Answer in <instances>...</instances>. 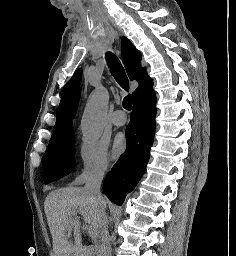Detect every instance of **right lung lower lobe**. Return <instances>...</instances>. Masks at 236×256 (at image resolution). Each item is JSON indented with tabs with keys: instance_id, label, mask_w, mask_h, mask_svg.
<instances>
[{
	"instance_id": "1",
	"label": "right lung lower lobe",
	"mask_w": 236,
	"mask_h": 256,
	"mask_svg": "<svg viewBox=\"0 0 236 256\" xmlns=\"http://www.w3.org/2000/svg\"><path fill=\"white\" fill-rule=\"evenodd\" d=\"M156 97L151 87L133 101L126 127V151L105 178L103 190L115 204L122 205L144 174L155 134Z\"/></svg>"
}]
</instances>
